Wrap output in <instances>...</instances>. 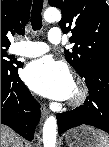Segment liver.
I'll use <instances>...</instances> for the list:
<instances>
[{"instance_id": "1", "label": "liver", "mask_w": 109, "mask_h": 147, "mask_svg": "<svg viewBox=\"0 0 109 147\" xmlns=\"http://www.w3.org/2000/svg\"><path fill=\"white\" fill-rule=\"evenodd\" d=\"M1 147H23L22 138L11 128L1 126Z\"/></svg>"}]
</instances>
